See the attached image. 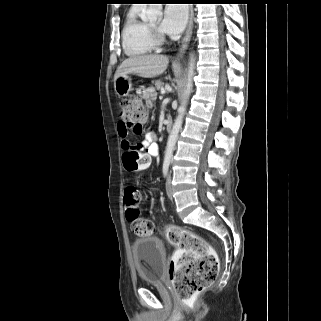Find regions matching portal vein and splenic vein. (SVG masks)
Listing matches in <instances>:
<instances>
[{"instance_id":"18ae733b","label":"portal vein and splenic vein","mask_w":321,"mask_h":321,"mask_svg":"<svg viewBox=\"0 0 321 321\" xmlns=\"http://www.w3.org/2000/svg\"><path fill=\"white\" fill-rule=\"evenodd\" d=\"M161 94H165V89L164 88L161 89Z\"/></svg>"}]
</instances>
